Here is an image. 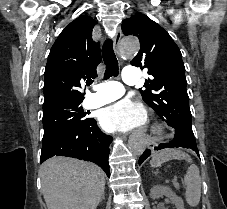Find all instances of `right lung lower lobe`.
Segmentation results:
<instances>
[{"instance_id":"obj_1","label":"right lung lower lobe","mask_w":227,"mask_h":209,"mask_svg":"<svg viewBox=\"0 0 227 209\" xmlns=\"http://www.w3.org/2000/svg\"><path fill=\"white\" fill-rule=\"evenodd\" d=\"M112 138L104 134L93 118L81 125L69 127L43 139L40 163L53 156H67L99 165L110 177L109 144Z\"/></svg>"}]
</instances>
